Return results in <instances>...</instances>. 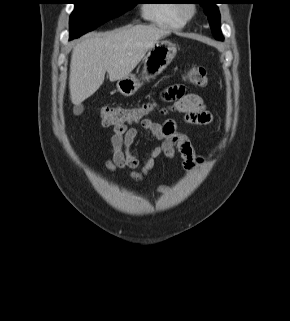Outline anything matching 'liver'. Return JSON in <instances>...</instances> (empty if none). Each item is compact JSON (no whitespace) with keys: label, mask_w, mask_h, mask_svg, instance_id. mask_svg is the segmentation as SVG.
<instances>
[{"label":"liver","mask_w":290,"mask_h":321,"mask_svg":"<svg viewBox=\"0 0 290 321\" xmlns=\"http://www.w3.org/2000/svg\"><path fill=\"white\" fill-rule=\"evenodd\" d=\"M170 31L154 25L126 26L107 33L86 35L71 56L69 89L73 104L79 105L104 82L130 75L146 52Z\"/></svg>","instance_id":"obj_1"}]
</instances>
